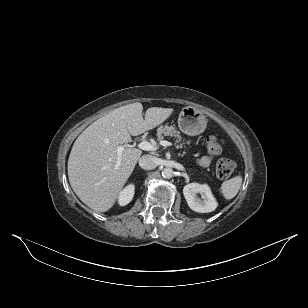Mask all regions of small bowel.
Wrapping results in <instances>:
<instances>
[{"label": "small bowel", "mask_w": 308, "mask_h": 308, "mask_svg": "<svg viewBox=\"0 0 308 308\" xmlns=\"http://www.w3.org/2000/svg\"><path fill=\"white\" fill-rule=\"evenodd\" d=\"M211 162H212V157L210 156H204L198 160V164L201 167H208Z\"/></svg>", "instance_id": "1"}]
</instances>
